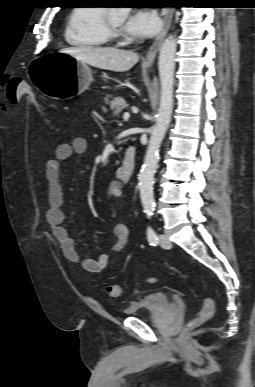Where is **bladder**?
I'll use <instances>...</instances> for the list:
<instances>
[{"mask_svg": "<svg viewBox=\"0 0 255 387\" xmlns=\"http://www.w3.org/2000/svg\"><path fill=\"white\" fill-rule=\"evenodd\" d=\"M173 305L171 298L163 292H152L143 296L141 299L132 302L123 310L127 316L137 317L143 313L157 314Z\"/></svg>", "mask_w": 255, "mask_h": 387, "instance_id": "31cf9c89", "label": "bladder"}]
</instances>
